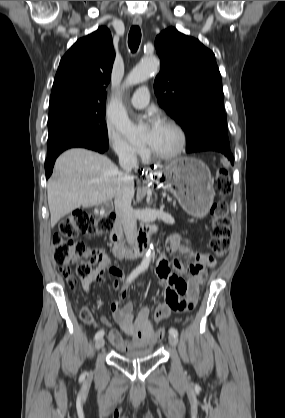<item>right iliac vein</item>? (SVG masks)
<instances>
[{
    "mask_svg": "<svg viewBox=\"0 0 285 418\" xmlns=\"http://www.w3.org/2000/svg\"><path fill=\"white\" fill-rule=\"evenodd\" d=\"M105 340L103 337L97 339L96 343H95V349L96 350H100L103 346H104Z\"/></svg>",
    "mask_w": 285,
    "mask_h": 418,
    "instance_id": "right-iliac-vein-1",
    "label": "right iliac vein"
}]
</instances>
